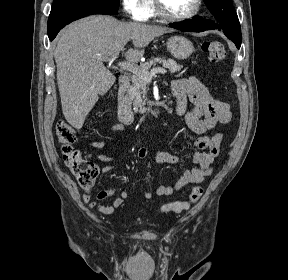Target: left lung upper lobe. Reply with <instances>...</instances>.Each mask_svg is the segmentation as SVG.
Returning <instances> with one entry per match:
<instances>
[{
  "instance_id": "5c2ea615",
  "label": "left lung upper lobe",
  "mask_w": 288,
  "mask_h": 280,
  "mask_svg": "<svg viewBox=\"0 0 288 280\" xmlns=\"http://www.w3.org/2000/svg\"><path fill=\"white\" fill-rule=\"evenodd\" d=\"M204 2L218 23L215 27L223 30L233 42L241 43V27L232 0H204ZM209 22L214 25L212 21Z\"/></svg>"
}]
</instances>
